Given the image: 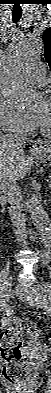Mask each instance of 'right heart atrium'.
<instances>
[{
	"label": "right heart atrium",
	"instance_id": "right-heart-atrium-1",
	"mask_svg": "<svg viewBox=\"0 0 51 393\" xmlns=\"http://www.w3.org/2000/svg\"><path fill=\"white\" fill-rule=\"evenodd\" d=\"M0 126L3 131L25 137L34 130V122L21 115L7 100L0 99Z\"/></svg>",
	"mask_w": 51,
	"mask_h": 393
}]
</instances>
